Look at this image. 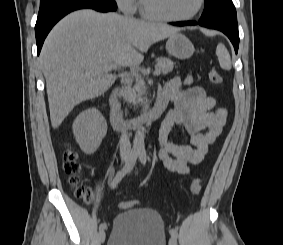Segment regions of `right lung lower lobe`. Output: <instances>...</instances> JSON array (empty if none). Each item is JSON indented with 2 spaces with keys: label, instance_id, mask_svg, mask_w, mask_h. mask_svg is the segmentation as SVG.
<instances>
[{
  "label": "right lung lower lobe",
  "instance_id": "1",
  "mask_svg": "<svg viewBox=\"0 0 283 245\" xmlns=\"http://www.w3.org/2000/svg\"><path fill=\"white\" fill-rule=\"evenodd\" d=\"M84 8H91L100 12H109L115 11L117 5L114 0H61L40 7L35 25L38 55L52 27L68 13Z\"/></svg>",
  "mask_w": 283,
  "mask_h": 245
}]
</instances>
